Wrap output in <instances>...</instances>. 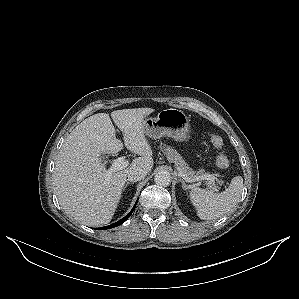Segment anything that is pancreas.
I'll use <instances>...</instances> for the list:
<instances>
[{
	"mask_svg": "<svg viewBox=\"0 0 299 299\" xmlns=\"http://www.w3.org/2000/svg\"><path fill=\"white\" fill-rule=\"evenodd\" d=\"M161 149L166 154L167 159L175 163L176 168L179 171H182L185 175H187V177L194 178V177L206 175L202 171H198V172L193 171L189 167V165L185 162V160L182 158V156L172 147L163 145ZM207 186L213 190L217 189L214 182L211 180L207 182Z\"/></svg>",
	"mask_w": 299,
	"mask_h": 299,
	"instance_id": "obj_1",
	"label": "pancreas"
}]
</instances>
